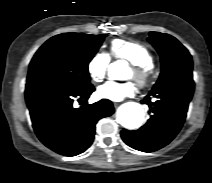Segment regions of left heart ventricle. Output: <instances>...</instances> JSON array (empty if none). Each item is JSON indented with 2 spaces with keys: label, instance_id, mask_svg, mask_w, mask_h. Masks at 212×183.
<instances>
[{
  "label": "left heart ventricle",
  "instance_id": "b2bd125f",
  "mask_svg": "<svg viewBox=\"0 0 212 183\" xmlns=\"http://www.w3.org/2000/svg\"><path fill=\"white\" fill-rule=\"evenodd\" d=\"M126 79H134V75L131 69L127 72Z\"/></svg>",
  "mask_w": 212,
  "mask_h": 183
}]
</instances>
